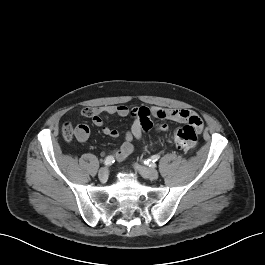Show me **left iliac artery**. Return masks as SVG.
Returning <instances> with one entry per match:
<instances>
[{
	"label": "left iliac artery",
	"mask_w": 265,
	"mask_h": 265,
	"mask_svg": "<svg viewBox=\"0 0 265 265\" xmlns=\"http://www.w3.org/2000/svg\"><path fill=\"white\" fill-rule=\"evenodd\" d=\"M160 158V155H153L150 159H147L144 161V164L149 165V166H155V162Z\"/></svg>",
	"instance_id": "1"
}]
</instances>
